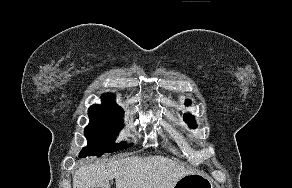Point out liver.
Wrapping results in <instances>:
<instances>
[{
	"label": "liver",
	"instance_id": "liver-1",
	"mask_svg": "<svg viewBox=\"0 0 292 188\" xmlns=\"http://www.w3.org/2000/svg\"><path fill=\"white\" fill-rule=\"evenodd\" d=\"M193 173L176 161L156 156H133L109 163H80L73 188H173L183 176Z\"/></svg>",
	"mask_w": 292,
	"mask_h": 188
}]
</instances>
